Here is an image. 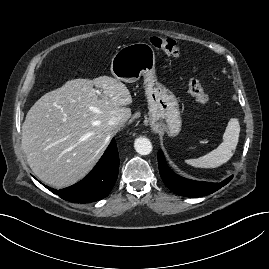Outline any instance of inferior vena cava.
<instances>
[{
	"label": "inferior vena cava",
	"instance_id": "inferior-vena-cava-1",
	"mask_svg": "<svg viewBox=\"0 0 269 269\" xmlns=\"http://www.w3.org/2000/svg\"><path fill=\"white\" fill-rule=\"evenodd\" d=\"M122 123H123L122 118L121 117H116V116L111 117L110 120L108 121V124L113 128H117Z\"/></svg>",
	"mask_w": 269,
	"mask_h": 269
}]
</instances>
